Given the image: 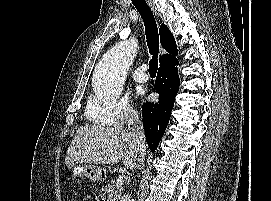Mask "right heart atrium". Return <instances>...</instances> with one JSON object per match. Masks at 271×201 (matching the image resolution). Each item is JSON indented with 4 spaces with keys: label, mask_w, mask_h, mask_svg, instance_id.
Returning <instances> with one entry per match:
<instances>
[{
    "label": "right heart atrium",
    "mask_w": 271,
    "mask_h": 201,
    "mask_svg": "<svg viewBox=\"0 0 271 201\" xmlns=\"http://www.w3.org/2000/svg\"><path fill=\"white\" fill-rule=\"evenodd\" d=\"M86 116L92 122L115 126L128 125L138 120L137 110L124 98L107 105L94 97L88 104Z\"/></svg>",
    "instance_id": "obj_1"
}]
</instances>
